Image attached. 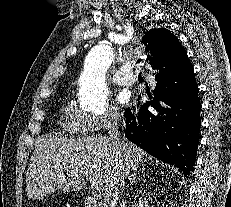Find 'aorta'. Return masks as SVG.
<instances>
[{
    "label": "aorta",
    "instance_id": "762f6f07",
    "mask_svg": "<svg viewBox=\"0 0 231 207\" xmlns=\"http://www.w3.org/2000/svg\"><path fill=\"white\" fill-rule=\"evenodd\" d=\"M113 57V50L108 43H100L88 52L79 79V101L83 109L93 112L106 109L109 92L105 76Z\"/></svg>",
    "mask_w": 231,
    "mask_h": 207
}]
</instances>
